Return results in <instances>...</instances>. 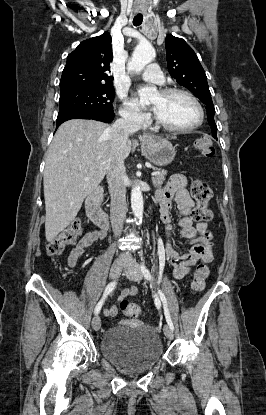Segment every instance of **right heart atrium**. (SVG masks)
Returning <instances> with one entry per match:
<instances>
[{"mask_svg":"<svg viewBox=\"0 0 266 415\" xmlns=\"http://www.w3.org/2000/svg\"><path fill=\"white\" fill-rule=\"evenodd\" d=\"M121 116L133 124H143L147 121L148 116L138 110L123 108L120 111Z\"/></svg>","mask_w":266,"mask_h":415,"instance_id":"d8ad5b80","label":"right heart atrium"}]
</instances>
